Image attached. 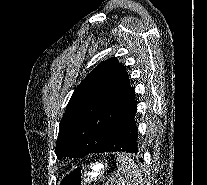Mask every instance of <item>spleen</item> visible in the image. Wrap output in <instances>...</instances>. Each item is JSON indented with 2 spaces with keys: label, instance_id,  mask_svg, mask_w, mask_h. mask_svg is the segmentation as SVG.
<instances>
[{
  "label": "spleen",
  "instance_id": "3e777b00",
  "mask_svg": "<svg viewBox=\"0 0 207 185\" xmlns=\"http://www.w3.org/2000/svg\"><path fill=\"white\" fill-rule=\"evenodd\" d=\"M135 159L116 158V169L112 170L113 178L107 179V185H140L143 174Z\"/></svg>",
  "mask_w": 207,
  "mask_h": 185
}]
</instances>
